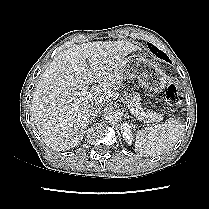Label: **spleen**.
<instances>
[{
	"instance_id": "3e777b00",
	"label": "spleen",
	"mask_w": 209,
	"mask_h": 209,
	"mask_svg": "<svg viewBox=\"0 0 209 209\" xmlns=\"http://www.w3.org/2000/svg\"><path fill=\"white\" fill-rule=\"evenodd\" d=\"M184 125L177 118H169L163 124L150 126L138 132L135 151L143 156H156L171 149L180 139Z\"/></svg>"
}]
</instances>
